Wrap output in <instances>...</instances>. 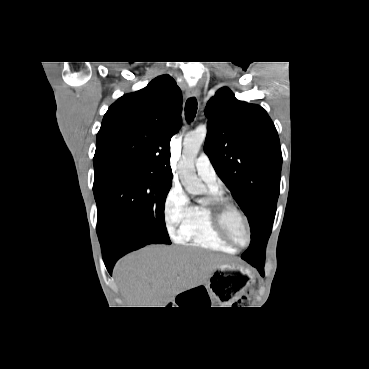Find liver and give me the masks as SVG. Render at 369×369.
I'll return each instance as SVG.
<instances>
[{
	"label": "liver",
	"instance_id": "liver-1",
	"mask_svg": "<svg viewBox=\"0 0 369 369\" xmlns=\"http://www.w3.org/2000/svg\"><path fill=\"white\" fill-rule=\"evenodd\" d=\"M225 260L198 248L152 245L120 260L114 276L129 307H166L206 282Z\"/></svg>",
	"mask_w": 369,
	"mask_h": 369
}]
</instances>
